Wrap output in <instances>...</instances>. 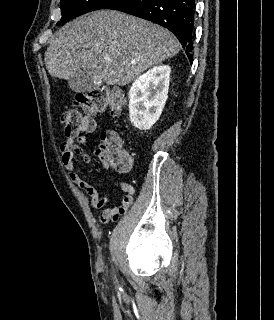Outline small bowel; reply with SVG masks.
<instances>
[{
    "instance_id": "1",
    "label": "small bowel",
    "mask_w": 274,
    "mask_h": 320,
    "mask_svg": "<svg viewBox=\"0 0 274 320\" xmlns=\"http://www.w3.org/2000/svg\"><path fill=\"white\" fill-rule=\"evenodd\" d=\"M84 124L87 126L86 131H95V119H85ZM91 143V139L86 136L68 137L60 144L61 162L67 170L71 181L90 198L91 206L94 209H102L99 215L100 222L108 224L117 221L130 207L133 202L134 188L129 183L120 180L119 187L124 192V195L116 206L104 208L109 201V197L107 195L101 196L97 187L83 180L74 166V158L76 156H80L85 165L90 163L91 157L83 150V146ZM97 155L100 158H104V152L100 149L97 151ZM122 161H133V158L128 152H125ZM131 169L119 168V172L126 173Z\"/></svg>"
}]
</instances>
